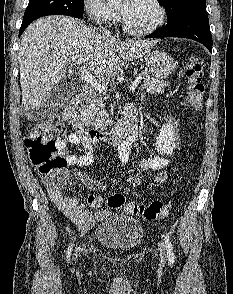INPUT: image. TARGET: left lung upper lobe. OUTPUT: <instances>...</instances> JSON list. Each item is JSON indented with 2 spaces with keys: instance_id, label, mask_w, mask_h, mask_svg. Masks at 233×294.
Wrapping results in <instances>:
<instances>
[{
  "instance_id": "5c2ea615",
  "label": "left lung upper lobe",
  "mask_w": 233,
  "mask_h": 294,
  "mask_svg": "<svg viewBox=\"0 0 233 294\" xmlns=\"http://www.w3.org/2000/svg\"><path fill=\"white\" fill-rule=\"evenodd\" d=\"M158 2L164 6L168 21L188 11L206 12L205 0H158Z\"/></svg>"
}]
</instances>
